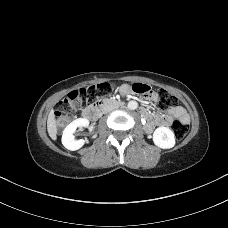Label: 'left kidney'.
Returning a JSON list of instances; mask_svg holds the SVG:
<instances>
[{
	"label": "left kidney",
	"mask_w": 228,
	"mask_h": 228,
	"mask_svg": "<svg viewBox=\"0 0 228 228\" xmlns=\"http://www.w3.org/2000/svg\"><path fill=\"white\" fill-rule=\"evenodd\" d=\"M154 144L162 149H170L175 145V135L167 127H158L153 133Z\"/></svg>",
	"instance_id": "5707ae66"
}]
</instances>
